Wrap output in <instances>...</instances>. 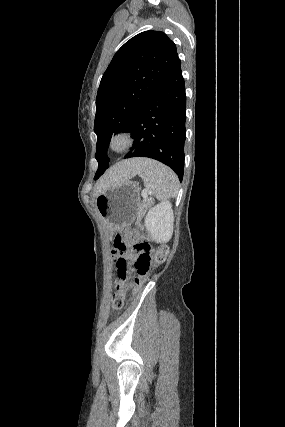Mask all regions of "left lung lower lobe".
<instances>
[{"mask_svg": "<svg viewBox=\"0 0 285 427\" xmlns=\"http://www.w3.org/2000/svg\"><path fill=\"white\" fill-rule=\"evenodd\" d=\"M185 121V84L179 59L131 124L128 132L134 138V151L124 158H153L172 168L182 181Z\"/></svg>", "mask_w": 285, "mask_h": 427, "instance_id": "obj_1", "label": "left lung lower lobe"}]
</instances>
